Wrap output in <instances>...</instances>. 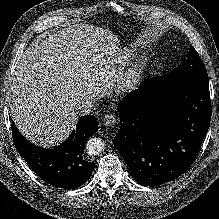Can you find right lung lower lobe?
Returning a JSON list of instances; mask_svg holds the SVG:
<instances>
[{
	"label": "right lung lower lobe",
	"instance_id": "98d812e1",
	"mask_svg": "<svg viewBox=\"0 0 219 219\" xmlns=\"http://www.w3.org/2000/svg\"><path fill=\"white\" fill-rule=\"evenodd\" d=\"M16 149L32 170L45 182L66 189L85 183L95 166L83 155L85 142L98 130L95 116H83L76 129L60 146L45 149L27 141L12 122Z\"/></svg>",
	"mask_w": 219,
	"mask_h": 219
}]
</instances>
